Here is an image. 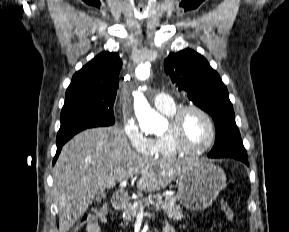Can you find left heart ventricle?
<instances>
[{
    "label": "left heart ventricle",
    "instance_id": "left-heart-ventricle-1",
    "mask_svg": "<svg viewBox=\"0 0 289 232\" xmlns=\"http://www.w3.org/2000/svg\"><path fill=\"white\" fill-rule=\"evenodd\" d=\"M185 141L191 146H201L210 137V128L205 118L195 111L188 112L182 122Z\"/></svg>",
    "mask_w": 289,
    "mask_h": 232
}]
</instances>
